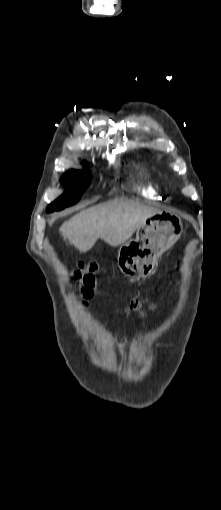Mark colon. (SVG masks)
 Segmentation results:
<instances>
[{
  "instance_id": "1",
  "label": "colon",
  "mask_w": 221,
  "mask_h": 510,
  "mask_svg": "<svg viewBox=\"0 0 221 510\" xmlns=\"http://www.w3.org/2000/svg\"><path fill=\"white\" fill-rule=\"evenodd\" d=\"M98 271V264L96 262H85L82 263L76 270L74 277L77 281V289L82 297V303L86 306L89 300L92 298L95 286V274ZM142 300L134 298L131 300L129 306L125 309V312H138L143 314Z\"/></svg>"
}]
</instances>
